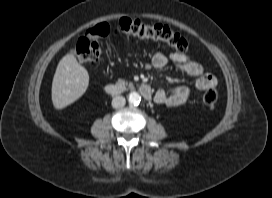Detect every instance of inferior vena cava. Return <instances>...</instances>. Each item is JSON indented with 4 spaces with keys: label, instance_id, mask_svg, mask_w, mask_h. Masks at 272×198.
Segmentation results:
<instances>
[{
    "label": "inferior vena cava",
    "instance_id": "inferior-vena-cava-1",
    "mask_svg": "<svg viewBox=\"0 0 272 198\" xmlns=\"http://www.w3.org/2000/svg\"><path fill=\"white\" fill-rule=\"evenodd\" d=\"M125 103H126V100L123 96H116L112 100V107L120 108V107H123Z\"/></svg>",
    "mask_w": 272,
    "mask_h": 198
}]
</instances>
